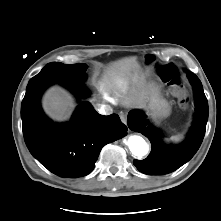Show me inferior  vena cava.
<instances>
[{"mask_svg":"<svg viewBox=\"0 0 221 221\" xmlns=\"http://www.w3.org/2000/svg\"><path fill=\"white\" fill-rule=\"evenodd\" d=\"M97 110L102 115H109L112 113V108L105 104H97Z\"/></svg>","mask_w":221,"mask_h":221,"instance_id":"obj_1","label":"inferior vena cava"}]
</instances>
